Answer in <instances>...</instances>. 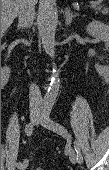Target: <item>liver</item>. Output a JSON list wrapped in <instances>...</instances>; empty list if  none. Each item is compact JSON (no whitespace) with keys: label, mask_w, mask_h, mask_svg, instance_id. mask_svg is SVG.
I'll return each instance as SVG.
<instances>
[{"label":"liver","mask_w":109,"mask_h":170,"mask_svg":"<svg viewBox=\"0 0 109 170\" xmlns=\"http://www.w3.org/2000/svg\"><path fill=\"white\" fill-rule=\"evenodd\" d=\"M21 0H1V32L4 33L14 19L17 17L20 9ZM38 0H34L36 4Z\"/></svg>","instance_id":"obj_1"}]
</instances>
